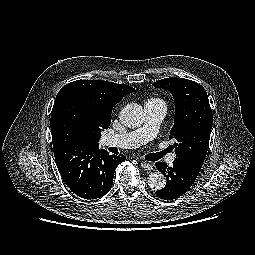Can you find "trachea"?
<instances>
[{
    "mask_svg": "<svg viewBox=\"0 0 255 255\" xmlns=\"http://www.w3.org/2000/svg\"><path fill=\"white\" fill-rule=\"evenodd\" d=\"M165 153H166L165 151L158 152V153H150L145 156V159L148 161H156V160H159L160 158H162Z\"/></svg>",
    "mask_w": 255,
    "mask_h": 255,
    "instance_id": "trachea-1",
    "label": "trachea"
}]
</instances>
